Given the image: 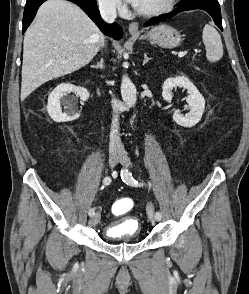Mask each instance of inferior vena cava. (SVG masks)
Returning <instances> with one entry per match:
<instances>
[{
    "label": "inferior vena cava",
    "instance_id": "obj_1",
    "mask_svg": "<svg viewBox=\"0 0 249 294\" xmlns=\"http://www.w3.org/2000/svg\"><path fill=\"white\" fill-rule=\"evenodd\" d=\"M100 14L102 19L107 23H112L117 17L115 3L111 0H103L99 4ZM104 46V43L101 44ZM113 109V118L110 132V148H117L121 146V139L119 135L118 114L120 111V104L116 98L111 101Z\"/></svg>",
    "mask_w": 249,
    "mask_h": 294
}]
</instances>
